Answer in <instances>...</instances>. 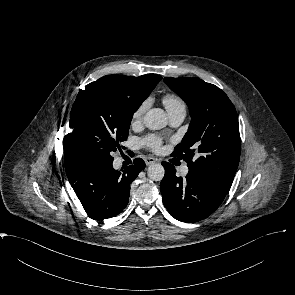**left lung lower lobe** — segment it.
<instances>
[{"label": "left lung lower lobe", "instance_id": "left-lung-lower-lobe-1", "mask_svg": "<svg viewBox=\"0 0 295 295\" xmlns=\"http://www.w3.org/2000/svg\"><path fill=\"white\" fill-rule=\"evenodd\" d=\"M165 176L160 190L168 212L177 220L194 223L211 215L223 202L227 192L204 176L189 172L185 179L176 176L168 162L162 163Z\"/></svg>", "mask_w": 295, "mask_h": 295}]
</instances>
